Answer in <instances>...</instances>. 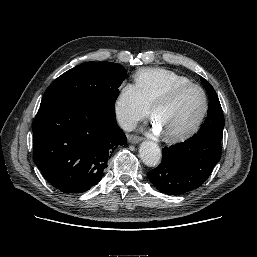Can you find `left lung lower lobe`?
I'll return each instance as SVG.
<instances>
[{
    "label": "left lung lower lobe",
    "mask_w": 257,
    "mask_h": 257,
    "mask_svg": "<svg viewBox=\"0 0 257 257\" xmlns=\"http://www.w3.org/2000/svg\"><path fill=\"white\" fill-rule=\"evenodd\" d=\"M222 138L204 136L162 149L159 166L147 173L162 193L182 195L200 187L221 157Z\"/></svg>",
    "instance_id": "obj_1"
}]
</instances>
